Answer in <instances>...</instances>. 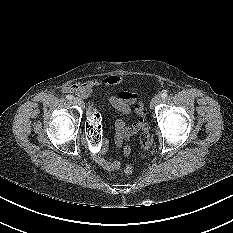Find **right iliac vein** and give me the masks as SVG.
<instances>
[{
	"mask_svg": "<svg viewBox=\"0 0 233 233\" xmlns=\"http://www.w3.org/2000/svg\"><path fill=\"white\" fill-rule=\"evenodd\" d=\"M73 102H74L75 104H77V105H80V106L83 105V101H82L80 98H78V97L74 98V99H73Z\"/></svg>",
	"mask_w": 233,
	"mask_h": 233,
	"instance_id": "63e3f726",
	"label": "right iliac vein"
}]
</instances>
